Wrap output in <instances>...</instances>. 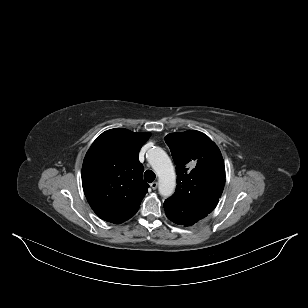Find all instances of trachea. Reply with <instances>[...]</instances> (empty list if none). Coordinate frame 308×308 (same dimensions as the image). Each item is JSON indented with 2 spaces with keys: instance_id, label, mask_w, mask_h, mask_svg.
<instances>
[{
  "instance_id": "obj_1",
  "label": "trachea",
  "mask_w": 308,
  "mask_h": 308,
  "mask_svg": "<svg viewBox=\"0 0 308 308\" xmlns=\"http://www.w3.org/2000/svg\"><path fill=\"white\" fill-rule=\"evenodd\" d=\"M156 178V175L155 173L152 171V170H146L145 173H144V179L151 183L155 180Z\"/></svg>"
}]
</instances>
